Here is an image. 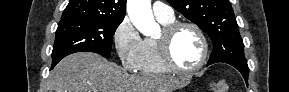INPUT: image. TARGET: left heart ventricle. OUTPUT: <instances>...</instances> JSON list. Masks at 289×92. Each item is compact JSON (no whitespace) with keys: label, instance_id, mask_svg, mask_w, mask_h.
Listing matches in <instances>:
<instances>
[{"label":"left heart ventricle","instance_id":"left-heart-ventricle-1","mask_svg":"<svg viewBox=\"0 0 289 92\" xmlns=\"http://www.w3.org/2000/svg\"><path fill=\"white\" fill-rule=\"evenodd\" d=\"M171 53L174 62L179 67L185 69L194 67L202 55L200 38L190 28L180 29L172 41Z\"/></svg>","mask_w":289,"mask_h":92}]
</instances>
